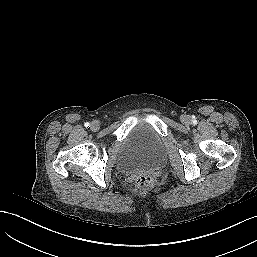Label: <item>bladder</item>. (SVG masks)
Returning a JSON list of instances; mask_svg holds the SVG:
<instances>
[{
  "mask_svg": "<svg viewBox=\"0 0 257 257\" xmlns=\"http://www.w3.org/2000/svg\"><path fill=\"white\" fill-rule=\"evenodd\" d=\"M165 155L162 138L152 126L141 121L133 127L122 142L120 163L126 172L156 168Z\"/></svg>",
  "mask_w": 257,
  "mask_h": 257,
  "instance_id": "obj_1",
  "label": "bladder"
}]
</instances>
